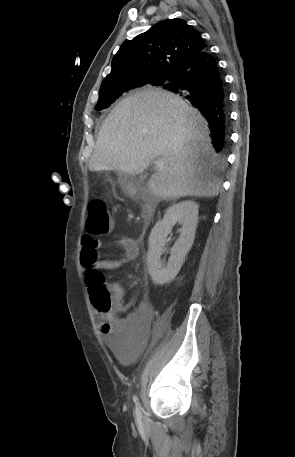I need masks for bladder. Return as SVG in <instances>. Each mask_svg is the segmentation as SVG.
<instances>
[{"mask_svg": "<svg viewBox=\"0 0 295 457\" xmlns=\"http://www.w3.org/2000/svg\"><path fill=\"white\" fill-rule=\"evenodd\" d=\"M106 347H114L113 355L118 356L123 364L131 363L137 356L143 355V338H106Z\"/></svg>", "mask_w": 295, "mask_h": 457, "instance_id": "bladder-1", "label": "bladder"}]
</instances>
